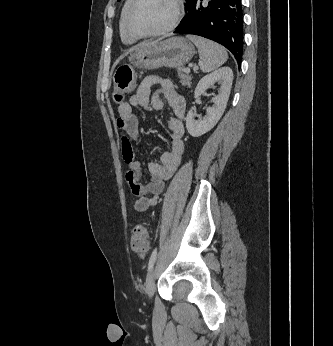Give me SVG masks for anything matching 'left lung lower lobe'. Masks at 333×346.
Listing matches in <instances>:
<instances>
[{
  "mask_svg": "<svg viewBox=\"0 0 333 346\" xmlns=\"http://www.w3.org/2000/svg\"><path fill=\"white\" fill-rule=\"evenodd\" d=\"M174 33L194 34L225 46L241 61L243 11L241 0H190Z\"/></svg>",
  "mask_w": 333,
  "mask_h": 346,
  "instance_id": "1",
  "label": "left lung lower lobe"
}]
</instances>
